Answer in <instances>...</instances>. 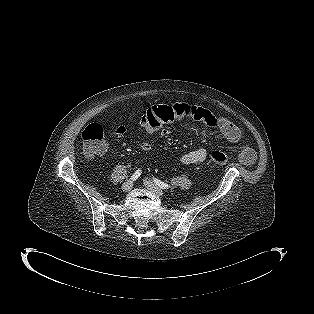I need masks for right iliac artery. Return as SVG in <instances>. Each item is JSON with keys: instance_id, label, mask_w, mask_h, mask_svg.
Wrapping results in <instances>:
<instances>
[{"instance_id": "1", "label": "right iliac artery", "mask_w": 314, "mask_h": 314, "mask_svg": "<svg viewBox=\"0 0 314 314\" xmlns=\"http://www.w3.org/2000/svg\"><path fill=\"white\" fill-rule=\"evenodd\" d=\"M141 173H142L141 170L138 169V170L131 176L130 180H132V181L136 180V179L141 175Z\"/></svg>"}]
</instances>
